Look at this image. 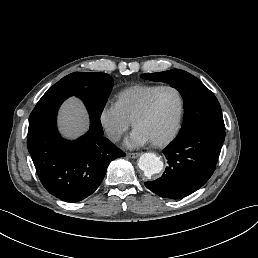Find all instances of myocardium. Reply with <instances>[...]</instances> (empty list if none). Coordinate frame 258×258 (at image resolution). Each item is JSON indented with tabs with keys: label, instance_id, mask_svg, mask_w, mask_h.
Here are the masks:
<instances>
[{
	"label": "myocardium",
	"instance_id": "1",
	"mask_svg": "<svg viewBox=\"0 0 258 258\" xmlns=\"http://www.w3.org/2000/svg\"><path fill=\"white\" fill-rule=\"evenodd\" d=\"M165 89H171L173 90L177 96H178V102H179V108H178V115H177V120H176V125L172 131V133L170 134V136H168L167 138H163V139H157V138H154V137H151V136H147V135H143L141 133V130H140V126H141V123L147 118V116L149 115V112H150V109H151V105H152V102H153V99L155 97V95L160 92L161 90H165ZM182 115H183V98H182V95L181 93L179 92L178 89H176L175 87L171 86V85H164V86H159L147 99L146 103H145V106L144 108L142 109L141 113L138 115V117L136 118L135 122H134V130H135V133L138 134V135H141L145 140L149 141L150 143L152 144H155V145H167L169 143H171L179 129H180V126H181V121H182Z\"/></svg>",
	"mask_w": 258,
	"mask_h": 258
}]
</instances>
